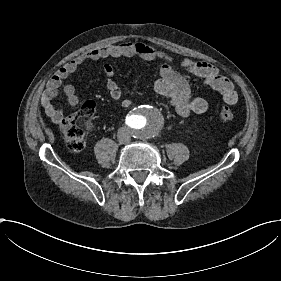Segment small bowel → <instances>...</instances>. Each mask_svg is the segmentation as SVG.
<instances>
[{"label":"small bowel","mask_w":281,"mask_h":281,"mask_svg":"<svg viewBox=\"0 0 281 281\" xmlns=\"http://www.w3.org/2000/svg\"><path fill=\"white\" fill-rule=\"evenodd\" d=\"M131 57L162 62L158 71V78L154 82V89L156 92L170 98L176 113L181 118L186 119L193 113L200 114L207 110L208 104L204 98L191 95L188 80L182 73L174 69L172 65L173 60L170 55L136 41L108 44L99 48L90 49L78 58L71 60L53 76L45 88L42 98V107L45 113L51 117L56 126L65 123V111L56 107L54 104L61 82L89 62L104 58ZM182 68L188 74L204 79L213 88L218 90L227 105L233 106L238 102V95L233 83L224 77L216 66L207 62L185 59L182 62ZM103 75L106 79L105 87L111 99L120 101L122 107H129L131 100L127 98L123 99L122 89L115 81L114 67L110 64L104 65ZM63 93L71 106H76L79 103L74 85L66 84L63 87Z\"/></svg>","instance_id":"obj_1"}]
</instances>
